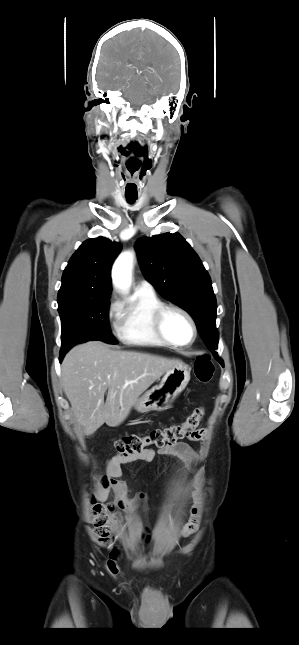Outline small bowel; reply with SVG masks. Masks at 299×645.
<instances>
[{
    "label": "small bowel",
    "instance_id": "c3829d8e",
    "mask_svg": "<svg viewBox=\"0 0 299 645\" xmlns=\"http://www.w3.org/2000/svg\"><path fill=\"white\" fill-rule=\"evenodd\" d=\"M190 441L206 442L208 439V431L205 428L193 430L187 436ZM156 456L171 457L191 468L192 472L197 478L200 477L199 470L194 466L195 454L192 448L185 442H178L164 448L154 450L145 449L139 454L133 455L127 459H120L115 457L108 461L106 465V474L100 479L96 488V498L98 500H105L107 492L112 488L124 486V481L120 478L122 476V465L124 463H131L135 461L152 462ZM194 504L190 508V518L181 530V536H187L193 532L199 524L201 517L202 504L196 492L193 496ZM148 497L144 493H139L131 502L123 499L118 501L119 507L127 511L134 510L141 507L143 510L146 508ZM151 530L148 527L144 528V536L149 539ZM119 557V551L115 548L112 552L110 563H115Z\"/></svg>",
    "mask_w": 299,
    "mask_h": 645
}]
</instances>
